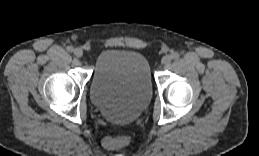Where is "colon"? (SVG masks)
<instances>
[{
	"label": "colon",
	"mask_w": 259,
	"mask_h": 156,
	"mask_svg": "<svg viewBox=\"0 0 259 156\" xmlns=\"http://www.w3.org/2000/svg\"><path fill=\"white\" fill-rule=\"evenodd\" d=\"M131 141V137L129 135L122 136H109L105 138L104 145L108 149H118L128 145Z\"/></svg>",
	"instance_id": "5ec220e1"
}]
</instances>
